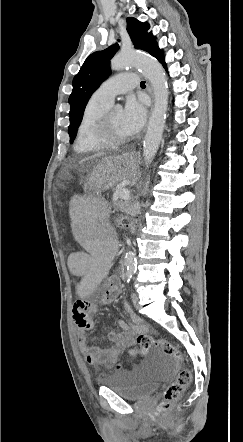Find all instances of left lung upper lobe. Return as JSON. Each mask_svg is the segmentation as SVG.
I'll use <instances>...</instances> for the list:
<instances>
[{"label": "left lung upper lobe", "mask_w": 243, "mask_h": 442, "mask_svg": "<svg viewBox=\"0 0 243 442\" xmlns=\"http://www.w3.org/2000/svg\"><path fill=\"white\" fill-rule=\"evenodd\" d=\"M148 23H142L135 18H127V31L135 48L152 53L157 46L152 33H148ZM118 44H114L103 51H97L88 56L73 79V91L69 97L70 125L69 135L71 142L76 136V131L82 121L84 109L92 93L99 87L110 74V59L118 51Z\"/></svg>", "instance_id": "5c2ea615"}]
</instances>
